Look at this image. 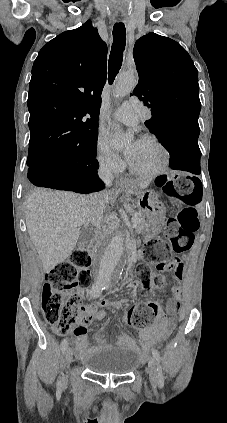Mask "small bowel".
I'll list each match as a JSON object with an SVG mask.
<instances>
[{
    "label": "small bowel",
    "instance_id": "small-bowel-1",
    "mask_svg": "<svg viewBox=\"0 0 227 423\" xmlns=\"http://www.w3.org/2000/svg\"><path fill=\"white\" fill-rule=\"evenodd\" d=\"M173 291L174 297L166 303V309L167 312L171 315V318H167L164 313L159 311L149 326L140 329L139 335L142 340L141 346H138L135 341L127 335L122 336L120 338V342L138 352H145L150 345L155 344L167 337L175 327L176 318L181 303L180 288L175 287ZM80 294H83V292H80ZM124 304V301L115 302L101 299L97 303L87 306L82 321L74 331V335L76 336L77 349L81 355L87 354L91 350V346L88 344L87 326L95 320L103 321L102 332L105 331L107 325L106 312L102 308H120Z\"/></svg>",
    "mask_w": 227,
    "mask_h": 423
}]
</instances>
